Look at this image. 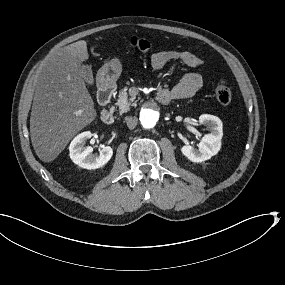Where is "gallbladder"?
Instances as JSON below:
<instances>
[{
	"label": "gallbladder",
	"mask_w": 285,
	"mask_h": 285,
	"mask_svg": "<svg viewBox=\"0 0 285 285\" xmlns=\"http://www.w3.org/2000/svg\"><path fill=\"white\" fill-rule=\"evenodd\" d=\"M82 73H83L84 80L87 83L94 81L93 73L89 66H84L82 69Z\"/></svg>",
	"instance_id": "1"
}]
</instances>
